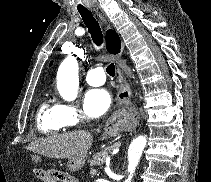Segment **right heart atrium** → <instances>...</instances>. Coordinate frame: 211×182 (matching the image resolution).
Masks as SVG:
<instances>
[{"label": "right heart atrium", "instance_id": "right-heart-atrium-1", "mask_svg": "<svg viewBox=\"0 0 211 182\" xmlns=\"http://www.w3.org/2000/svg\"><path fill=\"white\" fill-rule=\"evenodd\" d=\"M59 106L67 126H75L85 119L82 110L76 104H60Z\"/></svg>", "mask_w": 211, "mask_h": 182}]
</instances>
